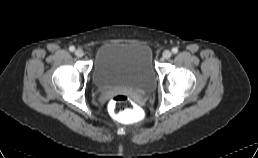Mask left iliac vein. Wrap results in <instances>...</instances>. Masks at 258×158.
<instances>
[{
	"mask_svg": "<svg viewBox=\"0 0 258 158\" xmlns=\"http://www.w3.org/2000/svg\"><path fill=\"white\" fill-rule=\"evenodd\" d=\"M162 56L164 59H169L171 57V52L169 50H165Z\"/></svg>",
	"mask_w": 258,
	"mask_h": 158,
	"instance_id": "left-iliac-vein-1",
	"label": "left iliac vein"
}]
</instances>
